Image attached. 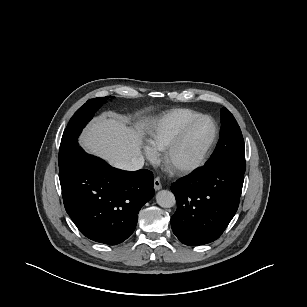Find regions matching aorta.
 <instances>
[{
	"label": "aorta",
	"mask_w": 307,
	"mask_h": 307,
	"mask_svg": "<svg viewBox=\"0 0 307 307\" xmlns=\"http://www.w3.org/2000/svg\"><path fill=\"white\" fill-rule=\"evenodd\" d=\"M156 201L163 208H171L176 204L175 195L168 190H161L156 195Z\"/></svg>",
	"instance_id": "762f6f07"
}]
</instances>
